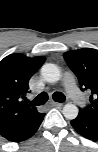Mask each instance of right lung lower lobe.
I'll use <instances>...</instances> for the list:
<instances>
[{
  "label": "right lung lower lobe",
  "instance_id": "obj_1",
  "mask_svg": "<svg viewBox=\"0 0 98 152\" xmlns=\"http://www.w3.org/2000/svg\"><path fill=\"white\" fill-rule=\"evenodd\" d=\"M45 114L38 113L36 116L31 118L25 125L15 130L14 132L4 136L5 139L11 142H21L24 141L35 134L39 128L41 122L43 121Z\"/></svg>",
  "mask_w": 98,
  "mask_h": 152
}]
</instances>
